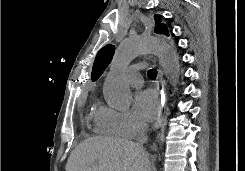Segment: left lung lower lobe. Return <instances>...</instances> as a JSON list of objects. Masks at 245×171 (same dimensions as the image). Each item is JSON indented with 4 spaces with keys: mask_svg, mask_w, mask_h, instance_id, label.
<instances>
[{
    "mask_svg": "<svg viewBox=\"0 0 245 171\" xmlns=\"http://www.w3.org/2000/svg\"><path fill=\"white\" fill-rule=\"evenodd\" d=\"M181 66H182V67H185V66H186V63H185V62H182V63H181Z\"/></svg>",
    "mask_w": 245,
    "mask_h": 171,
    "instance_id": "0a47b994",
    "label": "left lung lower lobe"
}]
</instances>
